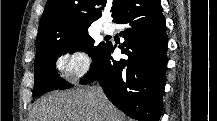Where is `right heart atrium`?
<instances>
[{
  "instance_id": "d8ad5b80",
  "label": "right heart atrium",
  "mask_w": 217,
  "mask_h": 121,
  "mask_svg": "<svg viewBox=\"0 0 217 121\" xmlns=\"http://www.w3.org/2000/svg\"><path fill=\"white\" fill-rule=\"evenodd\" d=\"M90 67V59L87 54L76 51L57 61V68L64 76L83 75Z\"/></svg>"
}]
</instances>
